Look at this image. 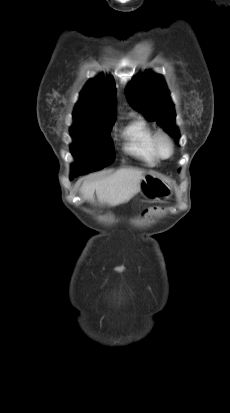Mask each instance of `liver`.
<instances>
[{"label":"liver","mask_w":230,"mask_h":413,"mask_svg":"<svg viewBox=\"0 0 230 413\" xmlns=\"http://www.w3.org/2000/svg\"><path fill=\"white\" fill-rule=\"evenodd\" d=\"M143 175L142 170L121 168L100 180L85 182L80 192L89 201H92L96 192L100 203L117 206L129 201L139 192Z\"/></svg>","instance_id":"6515ba94"}]
</instances>
